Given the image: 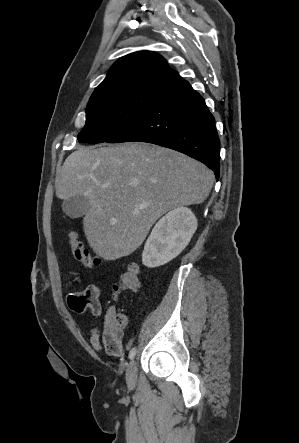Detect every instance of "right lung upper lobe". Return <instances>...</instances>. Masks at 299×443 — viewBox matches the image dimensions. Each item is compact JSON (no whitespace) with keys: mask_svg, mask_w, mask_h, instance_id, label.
Returning a JSON list of instances; mask_svg holds the SVG:
<instances>
[{"mask_svg":"<svg viewBox=\"0 0 299 443\" xmlns=\"http://www.w3.org/2000/svg\"><path fill=\"white\" fill-rule=\"evenodd\" d=\"M181 80V76L168 66L162 56L152 51H138L116 61L92 95L134 87L166 90Z\"/></svg>","mask_w":299,"mask_h":443,"instance_id":"1","label":"right lung upper lobe"}]
</instances>
